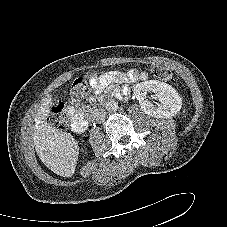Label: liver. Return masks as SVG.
<instances>
[{
    "mask_svg": "<svg viewBox=\"0 0 227 227\" xmlns=\"http://www.w3.org/2000/svg\"><path fill=\"white\" fill-rule=\"evenodd\" d=\"M51 104L52 96L47 95L35 115V150L47 168L57 175L71 177L75 172L79 147L70 133L55 129L45 121Z\"/></svg>",
    "mask_w": 227,
    "mask_h": 227,
    "instance_id": "obj_1",
    "label": "liver"
}]
</instances>
